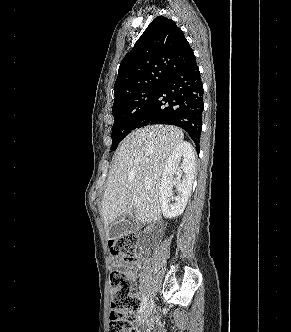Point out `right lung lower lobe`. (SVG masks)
Listing matches in <instances>:
<instances>
[{"label": "right lung lower lobe", "mask_w": 291, "mask_h": 332, "mask_svg": "<svg viewBox=\"0 0 291 332\" xmlns=\"http://www.w3.org/2000/svg\"><path fill=\"white\" fill-rule=\"evenodd\" d=\"M202 112L203 85L194 59L165 78L135 128L149 124L175 125L187 131L199 147Z\"/></svg>", "instance_id": "1"}]
</instances>
